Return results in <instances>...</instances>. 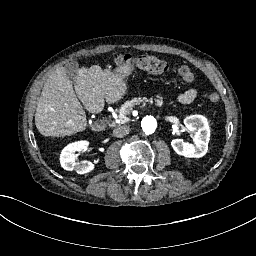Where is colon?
<instances>
[{
    "instance_id": "obj_1",
    "label": "colon",
    "mask_w": 256,
    "mask_h": 256,
    "mask_svg": "<svg viewBox=\"0 0 256 256\" xmlns=\"http://www.w3.org/2000/svg\"><path fill=\"white\" fill-rule=\"evenodd\" d=\"M118 63L120 65L127 64L131 67V69L146 70L152 75L165 74L170 70L168 64L150 55H121L118 59ZM178 74L180 76L181 84L184 86L190 85L195 81L196 78L195 72L187 66L180 67L178 69ZM204 100L207 103L215 104L218 102V95L212 91L206 92L204 94Z\"/></svg>"
}]
</instances>
